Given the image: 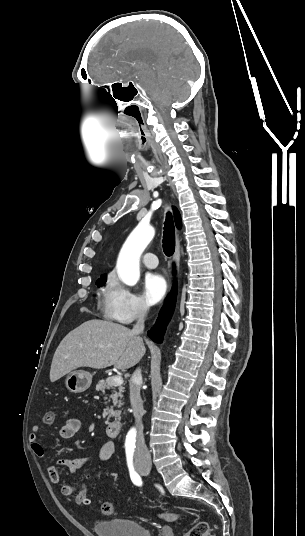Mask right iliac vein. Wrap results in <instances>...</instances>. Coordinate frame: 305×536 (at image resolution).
Instances as JSON below:
<instances>
[{
	"label": "right iliac vein",
	"mask_w": 305,
	"mask_h": 536,
	"mask_svg": "<svg viewBox=\"0 0 305 536\" xmlns=\"http://www.w3.org/2000/svg\"><path fill=\"white\" fill-rule=\"evenodd\" d=\"M140 468H141L142 471L150 470L148 465H142Z\"/></svg>",
	"instance_id": "right-iliac-vein-1"
}]
</instances>
